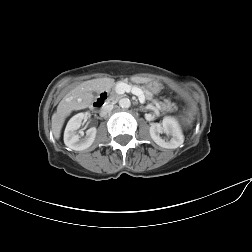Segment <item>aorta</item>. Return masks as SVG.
<instances>
[{
  "label": "aorta",
  "mask_w": 252,
  "mask_h": 252,
  "mask_svg": "<svg viewBox=\"0 0 252 252\" xmlns=\"http://www.w3.org/2000/svg\"><path fill=\"white\" fill-rule=\"evenodd\" d=\"M119 106L122 108H129L131 106V102L128 98H122L119 100Z\"/></svg>",
  "instance_id": "aorta-1"
}]
</instances>
